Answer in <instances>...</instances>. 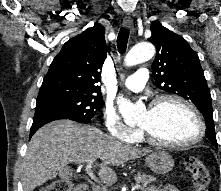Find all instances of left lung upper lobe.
<instances>
[{
  "mask_svg": "<svg viewBox=\"0 0 221 191\" xmlns=\"http://www.w3.org/2000/svg\"><path fill=\"white\" fill-rule=\"evenodd\" d=\"M157 54L152 73L158 88L190 100L206 122V136L217 147L212 99L197 53L187 41L158 21L150 27Z\"/></svg>",
  "mask_w": 221,
  "mask_h": 191,
  "instance_id": "left-lung-upper-lobe-1",
  "label": "left lung upper lobe"
}]
</instances>
